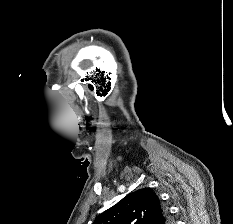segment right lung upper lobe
Wrapping results in <instances>:
<instances>
[{
	"label": "right lung upper lobe",
	"instance_id": "cb5924a9",
	"mask_svg": "<svg viewBox=\"0 0 233 224\" xmlns=\"http://www.w3.org/2000/svg\"><path fill=\"white\" fill-rule=\"evenodd\" d=\"M168 212L151 189L128 194L100 214L93 224H171Z\"/></svg>",
	"mask_w": 233,
	"mask_h": 224
}]
</instances>
